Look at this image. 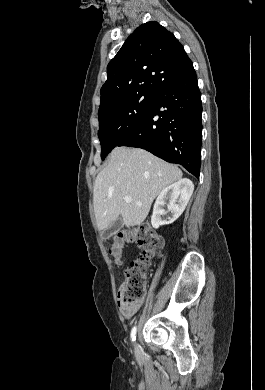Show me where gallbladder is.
<instances>
[{
    "label": "gallbladder",
    "instance_id": "obj_1",
    "mask_svg": "<svg viewBox=\"0 0 265 390\" xmlns=\"http://www.w3.org/2000/svg\"><path fill=\"white\" fill-rule=\"evenodd\" d=\"M123 225L122 217L119 216L110 226L104 231V237L110 238L111 236L117 234Z\"/></svg>",
    "mask_w": 265,
    "mask_h": 390
}]
</instances>
